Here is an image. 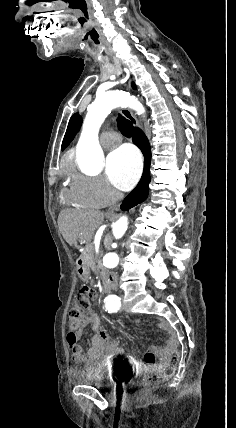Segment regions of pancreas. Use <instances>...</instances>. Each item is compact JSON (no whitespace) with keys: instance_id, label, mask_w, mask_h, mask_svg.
Returning <instances> with one entry per match:
<instances>
[{"instance_id":"pancreas-1","label":"pancreas","mask_w":236,"mask_h":428,"mask_svg":"<svg viewBox=\"0 0 236 428\" xmlns=\"http://www.w3.org/2000/svg\"><path fill=\"white\" fill-rule=\"evenodd\" d=\"M82 258L85 260L86 264H89V266H94L96 262L94 244H88V246H86L84 252H82ZM97 262H99V260H97Z\"/></svg>"}]
</instances>
